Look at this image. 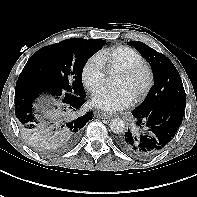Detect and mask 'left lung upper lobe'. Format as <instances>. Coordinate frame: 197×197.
Returning <instances> with one entry per match:
<instances>
[{"label":"left lung upper lobe","mask_w":197,"mask_h":197,"mask_svg":"<svg viewBox=\"0 0 197 197\" xmlns=\"http://www.w3.org/2000/svg\"><path fill=\"white\" fill-rule=\"evenodd\" d=\"M128 44L134 46L145 57L154 74L153 87L144 102L136 108L150 110L162 101L186 97L181 77L173 63L165 55L140 41H131Z\"/></svg>","instance_id":"obj_1"}]
</instances>
